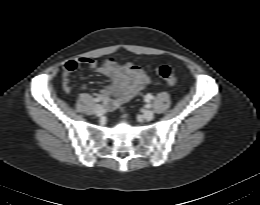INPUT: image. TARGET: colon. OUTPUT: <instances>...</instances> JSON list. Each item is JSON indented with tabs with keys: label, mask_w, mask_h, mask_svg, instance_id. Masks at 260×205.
Instances as JSON below:
<instances>
[{
	"label": "colon",
	"mask_w": 260,
	"mask_h": 205,
	"mask_svg": "<svg viewBox=\"0 0 260 205\" xmlns=\"http://www.w3.org/2000/svg\"><path fill=\"white\" fill-rule=\"evenodd\" d=\"M159 77L169 85H175L177 82L174 70L168 65H160L157 68Z\"/></svg>",
	"instance_id": "5ec220e1"
}]
</instances>
